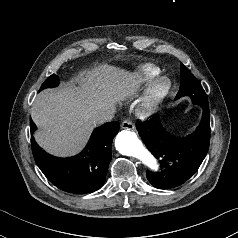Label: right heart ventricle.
Returning a JSON list of instances; mask_svg holds the SVG:
<instances>
[{
	"mask_svg": "<svg viewBox=\"0 0 238 238\" xmlns=\"http://www.w3.org/2000/svg\"><path fill=\"white\" fill-rule=\"evenodd\" d=\"M158 74V69L152 64H145L142 65L139 69V73L134 80V85L138 86L141 85L151 78H153L155 75Z\"/></svg>",
	"mask_w": 238,
	"mask_h": 238,
	"instance_id": "right-heart-ventricle-1",
	"label": "right heart ventricle"
}]
</instances>
